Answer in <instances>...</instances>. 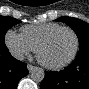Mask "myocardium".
Listing matches in <instances>:
<instances>
[{
	"label": "myocardium",
	"mask_w": 89,
	"mask_h": 89,
	"mask_svg": "<svg viewBox=\"0 0 89 89\" xmlns=\"http://www.w3.org/2000/svg\"><path fill=\"white\" fill-rule=\"evenodd\" d=\"M69 31L73 34L74 38H75V47L74 50L72 52V54L69 56V58H67L65 61L58 63V64H50L47 63L46 61H44V59L41 56V52L43 47L50 41V39L57 34L60 31ZM79 46H80V40H79V36L77 34V32L68 26H61L51 32H49L38 44L37 48H36V57L37 60L39 61V63L41 65H43L44 67L48 68V69H52V70H58V69H62L66 66H68L69 64H71L73 62V60L75 59V57L77 56L78 50H79Z\"/></svg>",
	"instance_id": "f54148a6"
}]
</instances>
